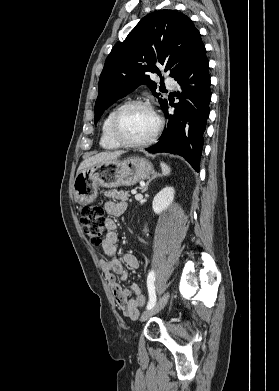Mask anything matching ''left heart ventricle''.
Returning a JSON list of instances; mask_svg holds the SVG:
<instances>
[{
	"instance_id": "obj_1",
	"label": "left heart ventricle",
	"mask_w": 279,
	"mask_h": 391,
	"mask_svg": "<svg viewBox=\"0 0 279 391\" xmlns=\"http://www.w3.org/2000/svg\"><path fill=\"white\" fill-rule=\"evenodd\" d=\"M120 132L130 141H143L150 137L156 127L153 113L145 107H132L120 119Z\"/></svg>"
}]
</instances>
